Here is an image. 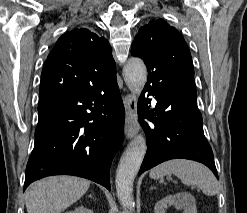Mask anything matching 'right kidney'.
<instances>
[{"mask_svg": "<svg viewBox=\"0 0 247 213\" xmlns=\"http://www.w3.org/2000/svg\"><path fill=\"white\" fill-rule=\"evenodd\" d=\"M65 213H94V212L84 206H79L76 207L74 210L67 211Z\"/></svg>", "mask_w": 247, "mask_h": 213, "instance_id": "ca27d5eb", "label": "right kidney"}]
</instances>
